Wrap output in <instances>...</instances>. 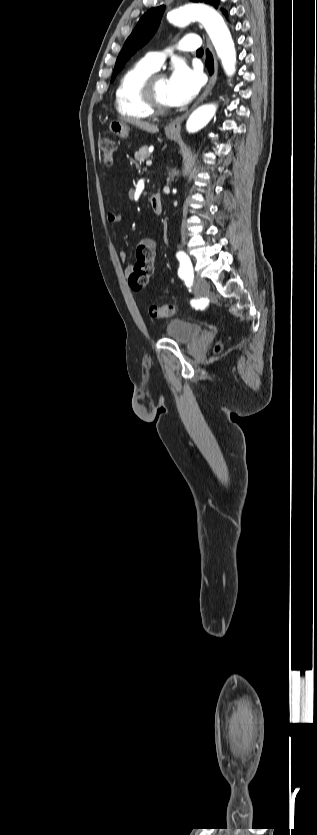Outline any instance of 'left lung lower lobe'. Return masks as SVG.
Listing matches in <instances>:
<instances>
[{
    "label": "left lung lower lobe",
    "mask_w": 317,
    "mask_h": 835,
    "mask_svg": "<svg viewBox=\"0 0 317 835\" xmlns=\"http://www.w3.org/2000/svg\"><path fill=\"white\" fill-rule=\"evenodd\" d=\"M206 66L208 67L209 72L212 73L214 64L212 55L209 52H207Z\"/></svg>",
    "instance_id": "1"
}]
</instances>
